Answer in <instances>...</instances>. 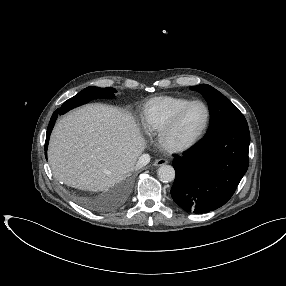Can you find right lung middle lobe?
I'll list each match as a JSON object with an SVG mask.
<instances>
[{"label":"right lung middle lobe","instance_id":"obj_1","mask_svg":"<svg viewBox=\"0 0 286 286\" xmlns=\"http://www.w3.org/2000/svg\"><path fill=\"white\" fill-rule=\"evenodd\" d=\"M116 90L114 88H99V87H87L74 97L68 99L63 103L60 109H57L60 114H64L67 111L83 105L88 101L95 98H113Z\"/></svg>","mask_w":286,"mask_h":286}]
</instances>
